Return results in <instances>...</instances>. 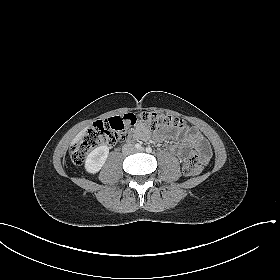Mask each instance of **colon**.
<instances>
[{
  "label": "colon",
  "mask_w": 280,
  "mask_h": 280,
  "mask_svg": "<svg viewBox=\"0 0 280 280\" xmlns=\"http://www.w3.org/2000/svg\"><path fill=\"white\" fill-rule=\"evenodd\" d=\"M137 120H141L154 131L176 130L184 126V121L177 116L148 111L140 112L137 115L127 114L122 117L98 120L71 147L73 162L76 164L82 163L86 155L98 146H113L122 142L126 138L129 128ZM209 157V150L193 152L183 164V173L186 176L198 175L203 170Z\"/></svg>",
  "instance_id": "colon-1"
}]
</instances>
